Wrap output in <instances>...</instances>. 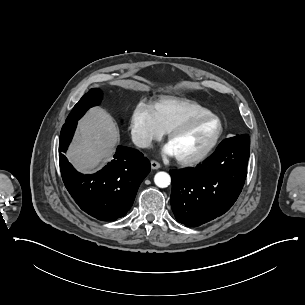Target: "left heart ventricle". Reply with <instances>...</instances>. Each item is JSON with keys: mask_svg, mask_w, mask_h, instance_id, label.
Wrapping results in <instances>:
<instances>
[{"mask_svg": "<svg viewBox=\"0 0 305 305\" xmlns=\"http://www.w3.org/2000/svg\"><path fill=\"white\" fill-rule=\"evenodd\" d=\"M219 130L220 123L217 119H207L190 126L170 146L175 155H194L207 148L214 141Z\"/></svg>", "mask_w": 305, "mask_h": 305, "instance_id": "left-heart-ventricle-1", "label": "left heart ventricle"}]
</instances>
